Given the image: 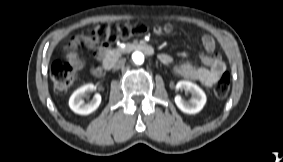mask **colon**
Masks as SVG:
<instances>
[{"instance_id":"colon-1","label":"colon","mask_w":283,"mask_h":162,"mask_svg":"<svg viewBox=\"0 0 283 162\" xmlns=\"http://www.w3.org/2000/svg\"><path fill=\"white\" fill-rule=\"evenodd\" d=\"M147 31L143 24L135 25H113L101 23L93 27L90 31L91 37L102 43H110L118 39H127L134 35H141ZM77 69L69 62L57 61L50 71V77L54 89L57 92H64L73 84ZM230 76L224 73L214 88L218 98H225L230 90Z\"/></svg>"}]
</instances>
